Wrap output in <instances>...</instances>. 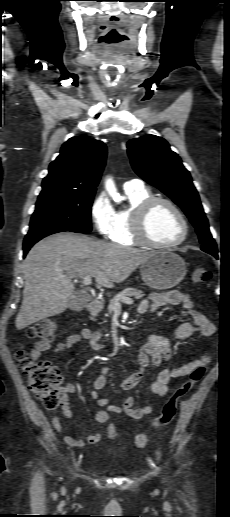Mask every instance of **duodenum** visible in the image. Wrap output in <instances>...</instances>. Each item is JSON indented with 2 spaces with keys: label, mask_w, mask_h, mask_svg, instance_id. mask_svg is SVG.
Listing matches in <instances>:
<instances>
[{
  "label": "duodenum",
  "mask_w": 230,
  "mask_h": 517,
  "mask_svg": "<svg viewBox=\"0 0 230 517\" xmlns=\"http://www.w3.org/2000/svg\"><path fill=\"white\" fill-rule=\"evenodd\" d=\"M102 310V304L99 300L97 299H92L89 304H88V311L91 313V314H98L100 313Z\"/></svg>",
  "instance_id": "410a0bca"
}]
</instances>
